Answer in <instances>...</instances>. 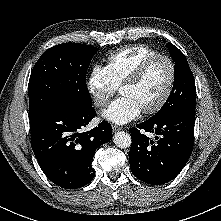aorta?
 Returning a JSON list of instances; mask_svg holds the SVG:
<instances>
[{
	"label": "aorta",
	"instance_id": "aorta-1",
	"mask_svg": "<svg viewBox=\"0 0 221 221\" xmlns=\"http://www.w3.org/2000/svg\"><path fill=\"white\" fill-rule=\"evenodd\" d=\"M113 141L119 148H128L131 146V136L129 133L124 131L115 133Z\"/></svg>",
	"mask_w": 221,
	"mask_h": 221
}]
</instances>
